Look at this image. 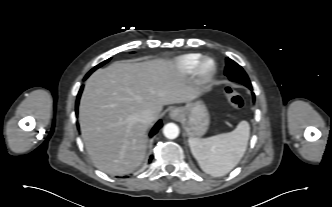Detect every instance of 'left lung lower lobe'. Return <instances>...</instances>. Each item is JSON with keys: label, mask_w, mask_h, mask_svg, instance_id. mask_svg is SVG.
<instances>
[{"label": "left lung lower lobe", "mask_w": 332, "mask_h": 207, "mask_svg": "<svg viewBox=\"0 0 332 207\" xmlns=\"http://www.w3.org/2000/svg\"><path fill=\"white\" fill-rule=\"evenodd\" d=\"M250 90H252V86L248 87ZM254 95V94H253Z\"/></svg>", "instance_id": "left-lung-lower-lobe-1"}]
</instances>
